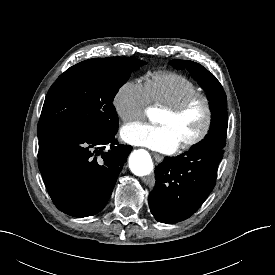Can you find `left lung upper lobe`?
<instances>
[{
	"instance_id": "5c2ea615",
	"label": "left lung upper lobe",
	"mask_w": 275,
	"mask_h": 275,
	"mask_svg": "<svg viewBox=\"0 0 275 275\" xmlns=\"http://www.w3.org/2000/svg\"><path fill=\"white\" fill-rule=\"evenodd\" d=\"M170 64L175 69H187L199 85L207 91L209 106L212 111L211 126L205 139L196 146L214 144L220 147L226 145L227 132V104L226 94L216 77L202 65L193 61L174 59Z\"/></svg>"
}]
</instances>
